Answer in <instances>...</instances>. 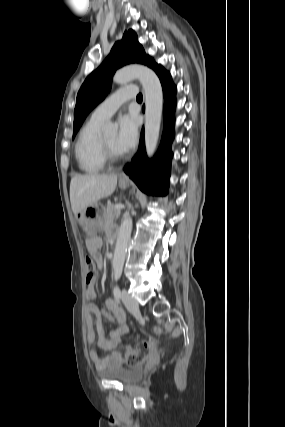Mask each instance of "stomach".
<instances>
[{"label": "stomach", "instance_id": "stomach-1", "mask_svg": "<svg viewBox=\"0 0 285 427\" xmlns=\"http://www.w3.org/2000/svg\"><path fill=\"white\" fill-rule=\"evenodd\" d=\"M119 186L122 189H126L129 186L128 182H119ZM80 225L82 226L87 238H93L96 231L104 223V209L99 204H94L86 208L80 216Z\"/></svg>", "mask_w": 285, "mask_h": 427}]
</instances>
